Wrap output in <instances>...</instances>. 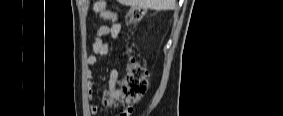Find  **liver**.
<instances>
[{
  "instance_id": "liver-1",
  "label": "liver",
  "mask_w": 283,
  "mask_h": 116,
  "mask_svg": "<svg viewBox=\"0 0 283 116\" xmlns=\"http://www.w3.org/2000/svg\"><path fill=\"white\" fill-rule=\"evenodd\" d=\"M118 2L126 6H139L156 11L172 10L176 6V0H118Z\"/></svg>"
}]
</instances>
